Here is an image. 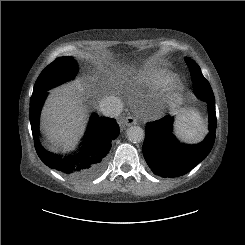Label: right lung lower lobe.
<instances>
[{"label": "right lung lower lobe", "instance_id": "1", "mask_svg": "<svg viewBox=\"0 0 245 245\" xmlns=\"http://www.w3.org/2000/svg\"><path fill=\"white\" fill-rule=\"evenodd\" d=\"M47 92L30 100V123L36 152L44 164L58 170L75 181H87L95 178L105 168L111 141L119 135L116 120L98 117L92 114L87 136L77 154L55 155L47 152L41 145L39 133V116Z\"/></svg>", "mask_w": 245, "mask_h": 245}]
</instances>
